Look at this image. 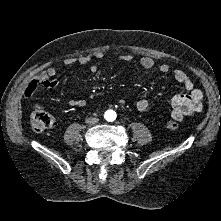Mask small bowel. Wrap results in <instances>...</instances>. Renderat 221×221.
I'll return each mask as SVG.
<instances>
[{"instance_id":"c3829d8e","label":"small bowel","mask_w":221,"mask_h":221,"mask_svg":"<svg viewBox=\"0 0 221 221\" xmlns=\"http://www.w3.org/2000/svg\"><path fill=\"white\" fill-rule=\"evenodd\" d=\"M96 58L99 60L104 59V55L102 53H98ZM123 60L130 62L133 60L131 55H126L122 57ZM91 62L90 57L82 56L80 58H67L65 63L67 65H72L74 63H79L83 66L89 65ZM140 66L143 69L149 70L157 68L160 72L164 74L170 73L174 80L181 84L185 90L186 94H179L172 98L171 106H172V116L177 118V116L181 113L182 110H185L184 116L189 115L193 112H197L202 108V98L203 94L199 88H197L190 78V76L181 69L171 70L167 64H157L156 61L150 56H144L140 58ZM98 68L96 65H89V71L92 73L97 72ZM58 69L55 66H50L44 71H42L35 79H33L24 89L23 98L30 99L34 96L38 88L45 89H56L59 86V82L54 79L57 75ZM70 105L83 106L85 104L84 100H70L68 101ZM137 109L139 111H145L148 108V101L146 99H140L137 101ZM38 107V105H36Z\"/></svg>"}]
</instances>
